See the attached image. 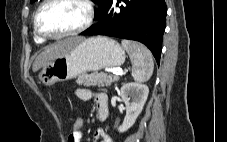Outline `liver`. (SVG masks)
<instances>
[{
	"label": "liver",
	"instance_id": "6515ba94",
	"mask_svg": "<svg viewBox=\"0 0 227 142\" xmlns=\"http://www.w3.org/2000/svg\"><path fill=\"white\" fill-rule=\"evenodd\" d=\"M85 40L82 37H70L66 38L57 44L48 47L39 56L35 59L32 70L33 72H37L42 67L48 65L52 60L62 56L63 54L70 51L76 44Z\"/></svg>",
	"mask_w": 227,
	"mask_h": 142
}]
</instances>
